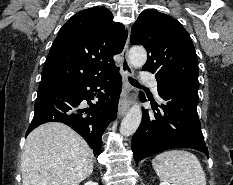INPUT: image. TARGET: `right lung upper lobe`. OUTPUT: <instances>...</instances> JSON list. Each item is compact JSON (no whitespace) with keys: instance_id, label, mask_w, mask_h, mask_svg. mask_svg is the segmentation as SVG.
Instances as JSON below:
<instances>
[{"instance_id":"obj_1","label":"right lung upper lobe","mask_w":233,"mask_h":185,"mask_svg":"<svg viewBox=\"0 0 233 185\" xmlns=\"http://www.w3.org/2000/svg\"><path fill=\"white\" fill-rule=\"evenodd\" d=\"M127 32L105 7L85 9L60 29L42 70L39 88L101 77L116 69L113 56L122 52Z\"/></svg>"}]
</instances>
